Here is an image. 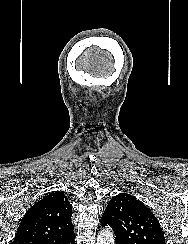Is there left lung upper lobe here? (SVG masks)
Segmentation results:
<instances>
[{"label":"left lung upper lobe","instance_id":"5c2ea615","mask_svg":"<svg viewBox=\"0 0 188 244\" xmlns=\"http://www.w3.org/2000/svg\"><path fill=\"white\" fill-rule=\"evenodd\" d=\"M101 221L114 230L116 244H165L164 234L155 215L129 194L114 196Z\"/></svg>","mask_w":188,"mask_h":244}]
</instances>
